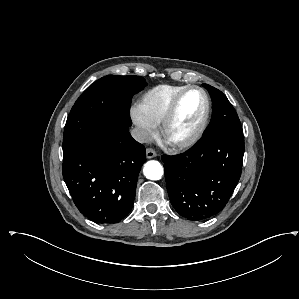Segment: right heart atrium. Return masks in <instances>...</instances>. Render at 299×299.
<instances>
[{"label":"right heart atrium","instance_id":"d8ad5b80","mask_svg":"<svg viewBox=\"0 0 299 299\" xmlns=\"http://www.w3.org/2000/svg\"><path fill=\"white\" fill-rule=\"evenodd\" d=\"M131 118L138 129V138L142 142L150 141L156 134V125L141 112L138 106L131 109Z\"/></svg>","mask_w":299,"mask_h":299}]
</instances>
